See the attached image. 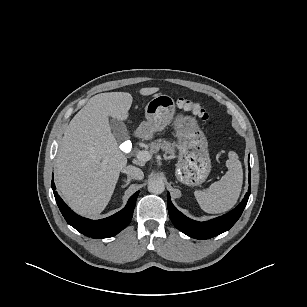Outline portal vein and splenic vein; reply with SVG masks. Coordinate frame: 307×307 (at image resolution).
<instances>
[{
	"label": "portal vein and splenic vein",
	"mask_w": 307,
	"mask_h": 307,
	"mask_svg": "<svg viewBox=\"0 0 307 307\" xmlns=\"http://www.w3.org/2000/svg\"><path fill=\"white\" fill-rule=\"evenodd\" d=\"M136 158L139 161L147 162V161H149L152 158V153L150 151H147V150H142V151H139L136 154Z\"/></svg>",
	"instance_id": "18ae733b"
}]
</instances>
